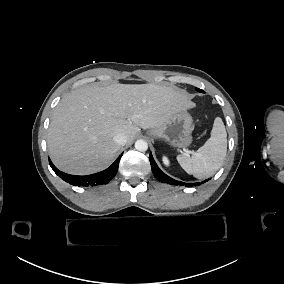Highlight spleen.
I'll use <instances>...</instances> for the list:
<instances>
[{"label": "spleen", "instance_id": "1", "mask_svg": "<svg viewBox=\"0 0 284 284\" xmlns=\"http://www.w3.org/2000/svg\"><path fill=\"white\" fill-rule=\"evenodd\" d=\"M227 151V134L220 118H216L211 137L204 146L189 155H178L177 162L182 169L195 178L210 177L222 166Z\"/></svg>", "mask_w": 284, "mask_h": 284}]
</instances>
